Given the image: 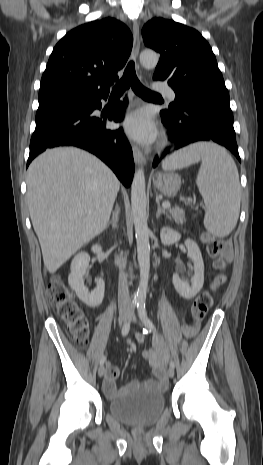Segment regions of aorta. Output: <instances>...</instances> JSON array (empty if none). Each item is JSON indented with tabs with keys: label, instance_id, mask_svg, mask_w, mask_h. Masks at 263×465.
Instances as JSON below:
<instances>
[{
	"label": "aorta",
	"instance_id": "762f6f07",
	"mask_svg": "<svg viewBox=\"0 0 263 465\" xmlns=\"http://www.w3.org/2000/svg\"><path fill=\"white\" fill-rule=\"evenodd\" d=\"M159 55L151 50L140 54V63L145 68H154L158 64ZM147 198L144 170L139 168L133 177L131 185V208L137 242V256L140 268V282L134 297L135 302L144 303L148 288L150 271V230L147 224Z\"/></svg>",
	"mask_w": 263,
	"mask_h": 465
}]
</instances>
